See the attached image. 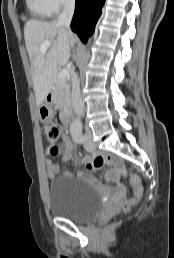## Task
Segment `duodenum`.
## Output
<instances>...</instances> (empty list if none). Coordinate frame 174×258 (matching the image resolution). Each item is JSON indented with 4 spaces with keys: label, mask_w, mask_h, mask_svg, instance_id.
Listing matches in <instances>:
<instances>
[{
    "label": "duodenum",
    "mask_w": 174,
    "mask_h": 258,
    "mask_svg": "<svg viewBox=\"0 0 174 258\" xmlns=\"http://www.w3.org/2000/svg\"><path fill=\"white\" fill-rule=\"evenodd\" d=\"M47 99H48L49 103L53 102V93L52 92H48ZM62 121L65 125H68L71 122L70 108L67 104H65L63 107Z\"/></svg>",
    "instance_id": "1"
}]
</instances>
